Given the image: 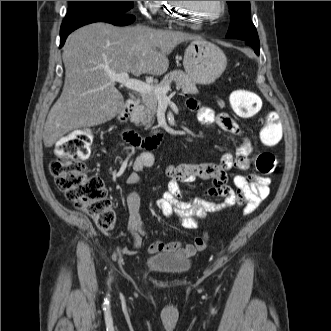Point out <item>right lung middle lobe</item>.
Segmentation results:
<instances>
[{
    "label": "right lung middle lobe",
    "instance_id": "1",
    "mask_svg": "<svg viewBox=\"0 0 331 331\" xmlns=\"http://www.w3.org/2000/svg\"><path fill=\"white\" fill-rule=\"evenodd\" d=\"M133 1H69L60 32L105 16L128 14Z\"/></svg>",
    "mask_w": 331,
    "mask_h": 331
}]
</instances>
